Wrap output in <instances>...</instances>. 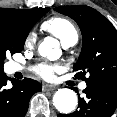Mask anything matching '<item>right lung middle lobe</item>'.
<instances>
[{"mask_svg":"<svg viewBox=\"0 0 117 117\" xmlns=\"http://www.w3.org/2000/svg\"><path fill=\"white\" fill-rule=\"evenodd\" d=\"M50 8H36L27 19L10 15H0V73H3V64L6 54L21 52L29 30L44 16Z\"/></svg>","mask_w":117,"mask_h":117,"instance_id":"dd1d6c3e","label":"right lung middle lobe"}]
</instances>
